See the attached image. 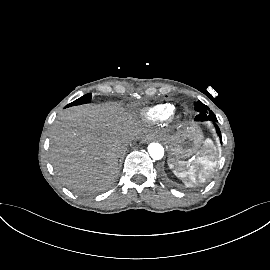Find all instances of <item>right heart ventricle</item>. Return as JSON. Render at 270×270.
Segmentation results:
<instances>
[{"instance_id": "obj_1", "label": "right heart ventricle", "mask_w": 270, "mask_h": 270, "mask_svg": "<svg viewBox=\"0 0 270 270\" xmlns=\"http://www.w3.org/2000/svg\"><path fill=\"white\" fill-rule=\"evenodd\" d=\"M174 109L175 107L171 103L158 104L144 110L143 117L150 122H163L172 115Z\"/></svg>"}]
</instances>
